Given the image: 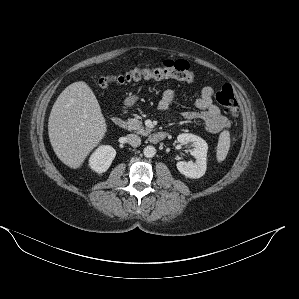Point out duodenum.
<instances>
[{
  "label": "duodenum",
  "instance_id": "410a0bca",
  "mask_svg": "<svg viewBox=\"0 0 299 299\" xmlns=\"http://www.w3.org/2000/svg\"><path fill=\"white\" fill-rule=\"evenodd\" d=\"M111 123L113 126L119 127V128H122L124 126V121L120 117H113L111 120ZM167 135H168V133L165 131L155 132L149 136V140L152 143H158V142L164 140L167 137Z\"/></svg>",
  "mask_w": 299,
  "mask_h": 299
}]
</instances>
